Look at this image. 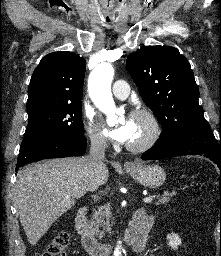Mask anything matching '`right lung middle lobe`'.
<instances>
[{"mask_svg":"<svg viewBox=\"0 0 221 256\" xmlns=\"http://www.w3.org/2000/svg\"><path fill=\"white\" fill-rule=\"evenodd\" d=\"M28 126L20 151L48 137L84 134L82 103L44 104L27 109Z\"/></svg>","mask_w":221,"mask_h":256,"instance_id":"right-lung-middle-lobe-1","label":"right lung middle lobe"}]
</instances>
